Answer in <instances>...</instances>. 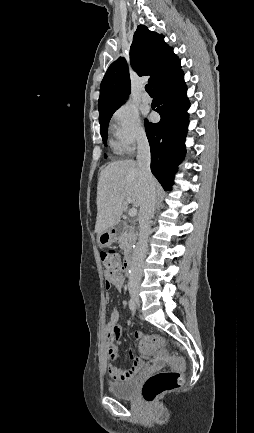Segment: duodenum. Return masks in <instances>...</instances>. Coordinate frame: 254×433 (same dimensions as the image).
I'll use <instances>...</instances> for the list:
<instances>
[{
    "label": "duodenum",
    "instance_id": "duodenum-1",
    "mask_svg": "<svg viewBox=\"0 0 254 433\" xmlns=\"http://www.w3.org/2000/svg\"><path fill=\"white\" fill-rule=\"evenodd\" d=\"M120 229V224H113L110 228V232L112 234L113 237H116L118 235ZM132 260L133 257L127 252L125 254V261H124V269L126 271H130L131 270V265H132Z\"/></svg>",
    "mask_w": 254,
    "mask_h": 433
}]
</instances>
